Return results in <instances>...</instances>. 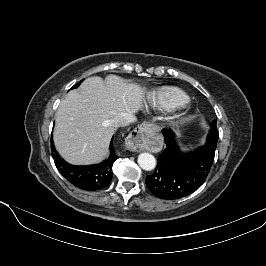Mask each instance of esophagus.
Masks as SVG:
<instances>
[{
	"instance_id": "1",
	"label": "esophagus",
	"mask_w": 266,
	"mask_h": 266,
	"mask_svg": "<svg viewBox=\"0 0 266 266\" xmlns=\"http://www.w3.org/2000/svg\"><path fill=\"white\" fill-rule=\"evenodd\" d=\"M150 130V125L143 123L136 127L130 134L127 136L125 144L129 151L132 152H141L145 147V138L147 132Z\"/></svg>"
}]
</instances>
